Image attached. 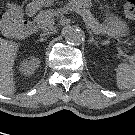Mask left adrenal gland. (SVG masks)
<instances>
[{
	"mask_svg": "<svg viewBox=\"0 0 135 135\" xmlns=\"http://www.w3.org/2000/svg\"><path fill=\"white\" fill-rule=\"evenodd\" d=\"M89 44H92V43H94V44H96L97 45V41L94 39V37H93V35H92V33L90 32V39H89Z\"/></svg>",
	"mask_w": 135,
	"mask_h": 135,
	"instance_id": "1",
	"label": "left adrenal gland"
}]
</instances>
